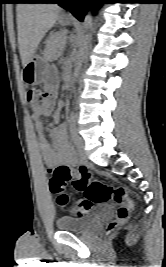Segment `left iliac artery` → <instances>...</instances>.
<instances>
[{
    "label": "left iliac artery",
    "instance_id": "1",
    "mask_svg": "<svg viewBox=\"0 0 166 267\" xmlns=\"http://www.w3.org/2000/svg\"><path fill=\"white\" fill-rule=\"evenodd\" d=\"M69 132L71 140L75 143L76 128H75L74 116L72 114L69 117Z\"/></svg>",
    "mask_w": 166,
    "mask_h": 267
}]
</instances>
